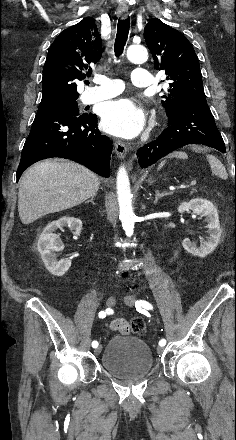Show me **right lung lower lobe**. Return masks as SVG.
Instances as JSON below:
<instances>
[{
  "mask_svg": "<svg viewBox=\"0 0 236 440\" xmlns=\"http://www.w3.org/2000/svg\"><path fill=\"white\" fill-rule=\"evenodd\" d=\"M111 153L112 143L97 129L96 115L38 109L22 150L17 181L30 165L52 157L74 160L109 177Z\"/></svg>",
  "mask_w": 236,
  "mask_h": 440,
  "instance_id": "obj_1",
  "label": "right lung lower lobe"
}]
</instances>
